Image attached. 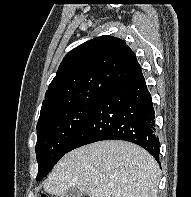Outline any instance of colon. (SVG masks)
<instances>
[{
    "label": "colon",
    "instance_id": "obj_1",
    "mask_svg": "<svg viewBox=\"0 0 191 197\" xmlns=\"http://www.w3.org/2000/svg\"><path fill=\"white\" fill-rule=\"evenodd\" d=\"M40 197H49V196L46 194H42Z\"/></svg>",
    "mask_w": 191,
    "mask_h": 197
}]
</instances>
